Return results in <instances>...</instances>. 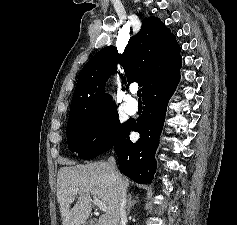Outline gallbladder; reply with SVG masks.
<instances>
[{
    "instance_id": "1",
    "label": "gallbladder",
    "mask_w": 237,
    "mask_h": 225,
    "mask_svg": "<svg viewBox=\"0 0 237 225\" xmlns=\"http://www.w3.org/2000/svg\"><path fill=\"white\" fill-rule=\"evenodd\" d=\"M85 225H96L95 220L88 221Z\"/></svg>"
}]
</instances>
